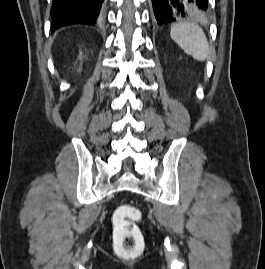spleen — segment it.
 <instances>
[{
	"mask_svg": "<svg viewBox=\"0 0 265 269\" xmlns=\"http://www.w3.org/2000/svg\"><path fill=\"white\" fill-rule=\"evenodd\" d=\"M171 38L188 55L197 61H205L209 54V45L204 31L195 24L178 23L171 26Z\"/></svg>",
	"mask_w": 265,
	"mask_h": 269,
	"instance_id": "3e777b00",
	"label": "spleen"
}]
</instances>
